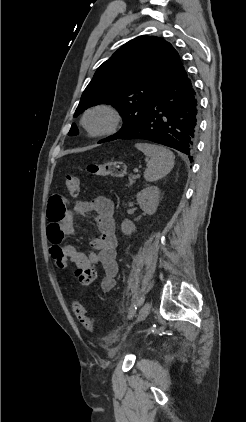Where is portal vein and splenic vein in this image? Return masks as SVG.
<instances>
[{
  "label": "portal vein and splenic vein",
  "instance_id": "portal-vein-and-splenic-vein-1",
  "mask_svg": "<svg viewBox=\"0 0 246 422\" xmlns=\"http://www.w3.org/2000/svg\"><path fill=\"white\" fill-rule=\"evenodd\" d=\"M138 176H139V175H134L133 177H134V178H137Z\"/></svg>",
  "mask_w": 246,
  "mask_h": 422
}]
</instances>
